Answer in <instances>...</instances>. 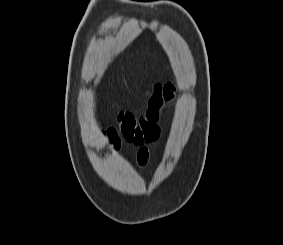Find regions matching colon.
I'll return each instance as SVG.
<instances>
[{"instance_id":"1","label":"colon","mask_w":283,"mask_h":245,"mask_svg":"<svg viewBox=\"0 0 283 245\" xmlns=\"http://www.w3.org/2000/svg\"><path fill=\"white\" fill-rule=\"evenodd\" d=\"M162 104V85L154 84L147 92L146 107L141 115L136 116L131 112L118 113L119 132L125 140L138 145L156 141L159 137L157 123Z\"/></svg>"}]
</instances>
